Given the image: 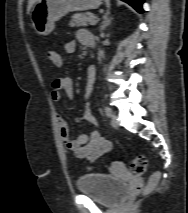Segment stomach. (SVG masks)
<instances>
[{"mask_svg": "<svg viewBox=\"0 0 188 213\" xmlns=\"http://www.w3.org/2000/svg\"><path fill=\"white\" fill-rule=\"evenodd\" d=\"M101 0H38L34 5L32 26L39 35H48L55 28V21L69 12L96 9Z\"/></svg>", "mask_w": 188, "mask_h": 213, "instance_id": "0dacf381", "label": "stomach"}]
</instances>
